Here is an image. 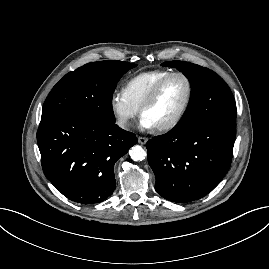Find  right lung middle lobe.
I'll use <instances>...</instances> for the list:
<instances>
[{
    "label": "right lung middle lobe",
    "instance_id": "obj_1",
    "mask_svg": "<svg viewBox=\"0 0 269 269\" xmlns=\"http://www.w3.org/2000/svg\"><path fill=\"white\" fill-rule=\"evenodd\" d=\"M136 66L122 61H99L69 72L49 93L42 117L65 113L99 123H115L112 95L116 84L124 73Z\"/></svg>",
    "mask_w": 269,
    "mask_h": 269
}]
</instances>
